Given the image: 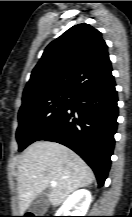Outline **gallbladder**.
<instances>
[{"label": "gallbladder", "mask_w": 132, "mask_h": 217, "mask_svg": "<svg viewBox=\"0 0 132 217\" xmlns=\"http://www.w3.org/2000/svg\"><path fill=\"white\" fill-rule=\"evenodd\" d=\"M49 204V191L46 190L32 201L29 206V212L35 216H42L47 211Z\"/></svg>", "instance_id": "gallbladder-1"}]
</instances>
